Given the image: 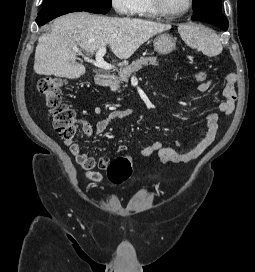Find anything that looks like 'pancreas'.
Wrapping results in <instances>:
<instances>
[{
  "label": "pancreas",
  "instance_id": "obj_1",
  "mask_svg": "<svg viewBox=\"0 0 255 272\" xmlns=\"http://www.w3.org/2000/svg\"><path fill=\"white\" fill-rule=\"evenodd\" d=\"M154 65L157 66L158 61L156 57H141L136 61H133L130 65H127L119 70V80L110 85L112 91H117L120 87V81L127 83L130 76L141 69L143 66Z\"/></svg>",
  "mask_w": 255,
  "mask_h": 272
}]
</instances>
